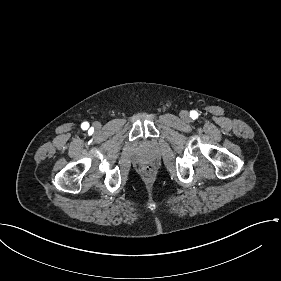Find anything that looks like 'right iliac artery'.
Returning <instances> with one entry per match:
<instances>
[{
  "instance_id": "82829eb1",
  "label": "right iliac artery",
  "mask_w": 281,
  "mask_h": 281,
  "mask_svg": "<svg viewBox=\"0 0 281 281\" xmlns=\"http://www.w3.org/2000/svg\"><path fill=\"white\" fill-rule=\"evenodd\" d=\"M89 127V124L87 123V122H84L83 124H82V128L83 129H87Z\"/></svg>"
}]
</instances>
